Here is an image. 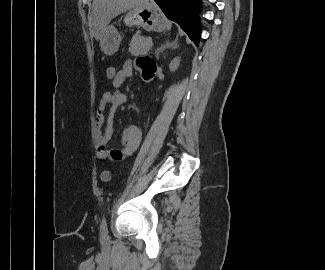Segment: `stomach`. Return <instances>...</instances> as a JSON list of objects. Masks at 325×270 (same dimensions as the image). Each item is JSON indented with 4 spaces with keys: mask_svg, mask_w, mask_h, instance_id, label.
Listing matches in <instances>:
<instances>
[{
    "mask_svg": "<svg viewBox=\"0 0 325 270\" xmlns=\"http://www.w3.org/2000/svg\"><path fill=\"white\" fill-rule=\"evenodd\" d=\"M128 26H141L147 31L161 32L166 28V22L157 6L153 3H145L131 9L124 17ZM122 40L118 30L113 26H107L100 41L102 51L107 55L117 52Z\"/></svg>",
    "mask_w": 325,
    "mask_h": 270,
    "instance_id": "1",
    "label": "stomach"
}]
</instances>
